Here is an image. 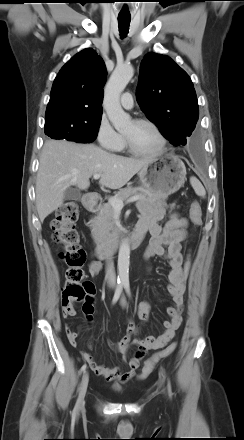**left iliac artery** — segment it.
<instances>
[{"instance_id": "44dca946", "label": "left iliac artery", "mask_w": 244, "mask_h": 440, "mask_svg": "<svg viewBox=\"0 0 244 440\" xmlns=\"http://www.w3.org/2000/svg\"><path fill=\"white\" fill-rule=\"evenodd\" d=\"M124 288H125V291L127 292V294L129 295V296H131V291H130V285H129V282H124ZM168 393H169V396L171 397L172 396V392H171V384H170V381L168 380Z\"/></svg>"}]
</instances>
